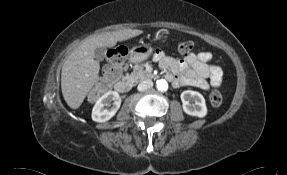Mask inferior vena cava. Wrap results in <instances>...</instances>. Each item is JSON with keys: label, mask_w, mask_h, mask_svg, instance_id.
I'll list each match as a JSON object with an SVG mask.
<instances>
[{"label": "inferior vena cava", "mask_w": 287, "mask_h": 175, "mask_svg": "<svg viewBox=\"0 0 287 175\" xmlns=\"http://www.w3.org/2000/svg\"><path fill=\"white\" fill-rule=\"evenodd\" d=\"M153 86V82L152 80L150 79H146V80H143L141 81L139 84H138V90L139 91H145L149 88H151Z\"/></svg>", "instance_id": "1"}]
</instances>
